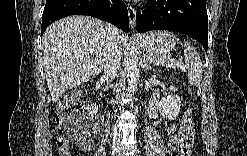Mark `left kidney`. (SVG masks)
<instances>
[{
	"label": "left kidney",
	"mask_w": 247,
	"mask_h": 156,
	"mask_svg": "<svg viewBox=\"0 0 247 156\" xmlns=\"http://www.w3.org/2000/svg\"><path fill=\"white\" fill-rule=\"evenodd\" d=\"M169 89L174 92L177 91V88L173 85H171ZM157 105L162 116L174 120L179 115L181 99L179 95H169L162 98Z\"/></svg>",
	"instance_id": "1"
}]
</instances>
